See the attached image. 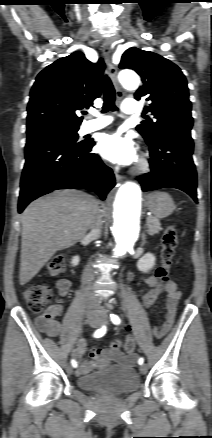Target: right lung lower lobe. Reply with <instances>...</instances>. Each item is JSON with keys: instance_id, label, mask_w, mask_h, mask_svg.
Returning a JSON list of instances; mask_svg holds the SVG:
<instances>
[{"instance_id": "1", "label": "right lung lower lobe", "mask_w": 212, "mask_h": 438, "mask_svg": "<svg viewBox=\"0 0 212 438\" xmlns=\"http://www.w3.org/2000/svg\"><path fill=\"white\" fill-rule=\"evenodd\" d=\"M94 141L76 143L57 135L27 139L18 212L55 189L85 188L102 200L115 186L112 170L91 152Z\"/></svg>"}]
</instances>
